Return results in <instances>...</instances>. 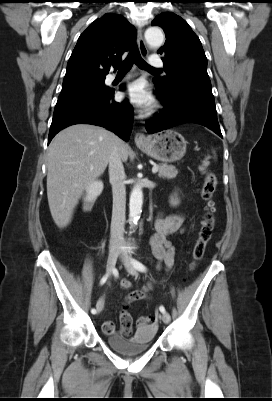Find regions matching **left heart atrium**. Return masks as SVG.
<instances>
[{
    "label": "left heart atrium",
    "instance_id": "obj_1",
    "mask_svg": "<svg viewBox=\"0 0 272 401\" xmlns=\"http://www.w3.org/2000/svg\"><path fill=\"white\" fill-rule=\"evenodd\" d=\"M122 98L134 106L147 109L153 104L151 94L145 89L144 85L136 82L127 87L122 93Z\"/></svg>",
    "mask_w": 272,
    "mask_h": 401
}]
</instances>
